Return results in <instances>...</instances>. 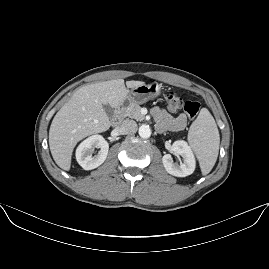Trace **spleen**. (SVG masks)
<instances>
[{
  "mask_svg": "<svg viewBox=\"0 0 269 269\" xmlns=\"http://www.w3.org/2000/svg\"><path fill=\"white\" fill-rule=\"evenodd\" d=\"M188 142L195 152L201 172L207 175L216 163L220 136L216 122L207 108H202L190 126Z\"/></svg>",
  "mask_w": 269,
  "mask_h": 269,
  "instance_id": "obj_1",
  "label": "spleen"
}]
</instances>
